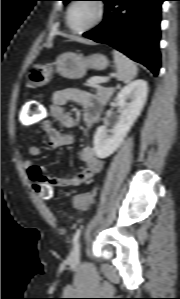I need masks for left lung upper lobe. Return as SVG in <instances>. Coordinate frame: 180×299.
Masks as SVG:
<instances>
[{"label":"left lung upper lobe","mask_w":180,"mask_h":299,"mask_svg":"<svg viewBox=\"0 0 180 299\" xmlns=\"http://www.w3.org/2000/svg\"><path fill=\"white\" fill-rule=\"evenodd\" d=\"M61 1H63L64 3H68L69 1H72V0H61ZM101 1H103V0H101Z\"/></svg>","instance_id":"obj_1"}]
</instances>
